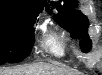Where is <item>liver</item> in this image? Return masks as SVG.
I'll return each instance as SVG.
<instances>
[{"mask_svg":"<svg viewBox=\"0 0 102 75\" xmlns=\"http://www.w3.org/2000/svg\"><path fill=\"white\" fill-rule=\"evenodd\" d=\"M0 75H73V74L51 64L36 63L25 67L1 68Z\"/></svg>","mask_w":102,"mask_h":75,"instance_id":"liver-1","label":"liver"}]
</instances>
